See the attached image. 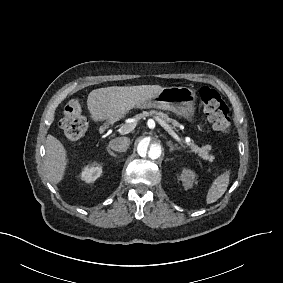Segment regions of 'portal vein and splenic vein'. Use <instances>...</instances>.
<instances>
[{"label":"portal vein and splenic vein","instance_id":"1","mask_svg":"<svg viewBox=\"0 0 283 283\" xmlns=\"http://www.w3.org/2000/svg\"><path fill=\"white\" fill-rule=\"evenodd\" d=\"M158 122L162 125V127L173 137V139L180 144L181 146L184 145V142L182 141V139L180 138L179 135H177L175 133V131L168 125L166 124L164 121H160L158 120ZM129 123H134V122H129ZM134 127H127V126H122L119 130L123 131L125 134H128L130 131L133 130Z\"/></svg>","mask_w":283,"mask_h":283}]
</instances>
